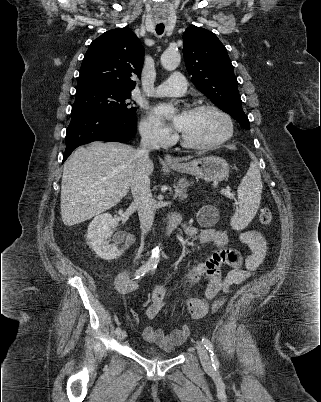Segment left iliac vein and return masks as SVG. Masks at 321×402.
<instances>
[{
    "label": "left iliac vein",
    "mask_w": 321,
    "mask_h": 402,
    "mask_svg": "<svg viewBox=\"0 0 321 402\" xmlns=\"http://www.w3.org/2000/svg\"><path fill=\"white\" fill-rule=\"evenodd\" d=\"M196 348H197V352H198V355L200 357V360H201L203 366L206 367V368L212 367V361H211V359H210V357L208 355V352L205 349L204 345L199 342V343H197Z\"/></svg>",
    "instance_id": "1"
}]
</instances>
